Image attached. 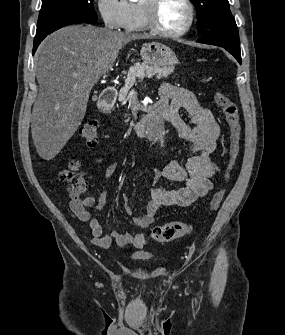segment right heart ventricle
I'll list each match as a JSON object with an SVG mask.
<instances>
[{
	"mask_svg": "<svg viewBox=\"0 0 285 335\" xmlns=\"http://www.w3.org/2000/svg\"><path fill=\"white\" fill-rule=\"evenodd\" d=\"M132 15L128 17L125 27L129 31L141 32L148 29L147 23V1H129L126 2ZM162 60H172L171 58H163Z\"/></svg>",
	"mask_w": 285,
	"mask_h": 335,
	"instance_id": "obj_1",
	"label": "right heart ventricle"
}]
</instances>
